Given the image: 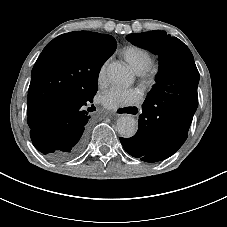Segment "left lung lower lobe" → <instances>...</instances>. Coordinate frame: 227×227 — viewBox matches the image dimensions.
<instances>
[{
    "mask_svg": "<svg viewBox=\"0 0 227 227\" xmlns=\"http://www.w3.org/2000/svg\"><path fill=\"white\" fill-rule=\"evenodd\" d=\"M171 77L172 84L159 88L142 105L138 131L120 138L126 152L146 162H158L173 155L185 142L198 106L199 72L189 66Z\"/></svg>",
    "mask_w": 227,
    "mask_h": 227,
    "instance_id": "left-lung-lower-lobe-1",
    "label": "left lung lower lobe"
}]
</instances>
